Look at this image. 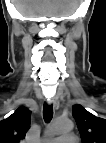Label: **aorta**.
I'll use <instances>...</instances> for the list:
<instances>
[{
    "instance_id": "aorta-1",
    "label": "aorta",
    "mask_w": 106,
    "mask_h": 143,
    "mask_svg": "<svg viewBox=\"0 0 106 143\" xmlns=\"http://www.w3.org/2000/svg\"><path fill=\"white\" fill-rule=\"evenodd\" d=\"M72 129H73V123L71 120L59 118L51 124L49 132L51 134H61V133H68Z\"/></svg>"
}]
</instances>
